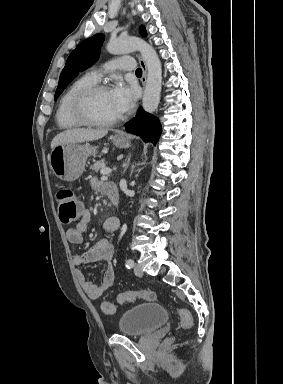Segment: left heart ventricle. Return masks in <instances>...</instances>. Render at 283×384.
<instances>
[{"label":"left heart ventricle","instance_id":"obj_1","mask_svg":"<svg viewBox=\"0 0 283 384\" xmlns=\"http://www.w3.org/2000/svg\"><path fill=\"white\" fill-rule=\"evenodd\" d=\"M85 114L96 121L106 122L120 116L109 94V90L97 92L86 104Z\"/></svg>","mask_w":283,"mask_h":384}]
</instances>
